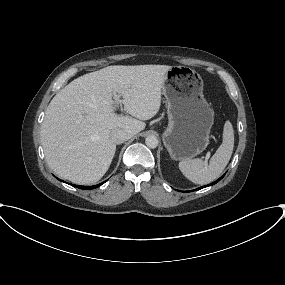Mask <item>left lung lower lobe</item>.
I'll use <instances>...</instances> for the list:
<instances>
[{
    "instance_id": "left-lung-lower-lobe-1",
    "label": "left lung lower lobe",
    "mask_w": 285,
    "mask_h": 285,
    "mask_svg": "<svg viewBox=\"0 0 285 285\" xmlns=\"http://www.w3.org/2000/svg\"><path fill=\"white\" fill-rule=\"evenodd\" d=\"M223 177H224V175H223L222 177H220L217 181L211 183L210 185L216 184V183H217L218 181H220ZM204 187H206V186L200 187V188H198V189H196V190L202 189V188H204ZM193 191H195V190H193Z\"/></svg>"
}]
</instances>
